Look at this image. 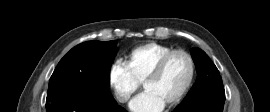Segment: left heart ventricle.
<instances>
[{
  "label": "left heart ventricle",
  "mask_w": 270,
  "mask_h": 112,
  "mask_svg": "<svg viewBox=\"0 0 270 112\" xmlns=\"http://www.w3.org/2000/svg\"><path fill=\"white\" fill-rule=\"evenodd\" d=\"M189 74V61L185 56L177 54L169 59L161 75L146 84L144 89L156 95L167 105L184 88Z\"/></svg>",
  "instance_id": "1"
}]
</instances>
